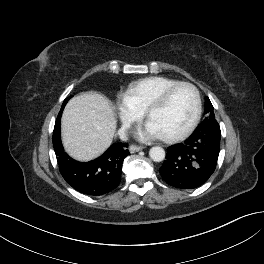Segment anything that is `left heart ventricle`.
<instances>
[{"mask_svg": "<svg viewBox=\"0 0 264 264\" xmlns=\"http://www.w3.org/2000/svg\"><path fill=\"white\" fill-rule=\"evenodd\" d=\"M195 110L193 91L189 87H180L165 106L151 114L149 122L161 136H172L182 132L190 124Z\"/></svg>", "mask_w": 264, "mask_h": 264, "instance_id": "obj_1", "label": "left heart ventricle"}]
</instances>
